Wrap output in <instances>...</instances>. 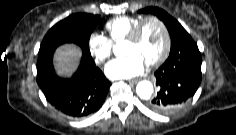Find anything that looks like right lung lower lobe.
I'll return each mask as SVG.
<instances>
[{
  "label": "right lung lower lobe",
  "mask_w": 236,
  "mask_h": 135,
  "mask_svg": "<svg viewBox=\"0 0 236 135\" xmlns=\"http://www.w3.org/2000/svg\"><path fill=\"white\" fill-rule=\"evenodd\" d=\"M52 58L53 54L45 55L37 62V83L47 101L72 118H83L98 111L111 83L96 67L91 55L83 52L80 66L70 79L56 75Z\"/></svg>",
  "instance_id": "98d812e1"
}]
</instances>
